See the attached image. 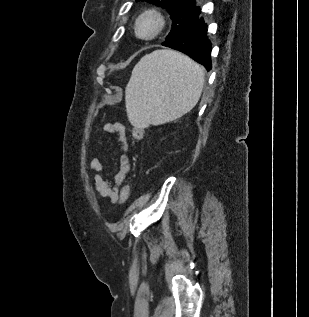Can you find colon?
Masks as SVG:
<instances>
[{"label": "colon", "mask_w": 309, "mask_h": 317, "mask_svg": "<svg viewBox=\"0 0 309 317\" xmlns=\"http://www.w3.org/2000/svg\"><path fill=\"white\" fill-rule=\"evenodd\" d=\"M133 137L135 139H141L143 136V130L140 128H135L132 132ZM130 197V186L128 184H124L122 189H121V202L126 203L129 200Z\"/></svg>", "instance_id": "5ec220e1"}]
</instances>
